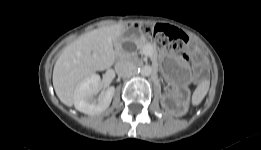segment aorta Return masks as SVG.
Instances as JSON below:
<instances>
[{"mask_svg":"<svg viewBox=\"0 0 261 150\" xmlns=\"http://www.w3.org/2000/svg\"><path fill=\"white\" fill-rule=\"evenodd\" d=\"M153 72V68L149 65H145L140 69V73L142 76H149Z\"/></svg>","mask_w":261,"mask_h":150,"instance_id":"obj_1","label":"aorta"}]
</instances>
